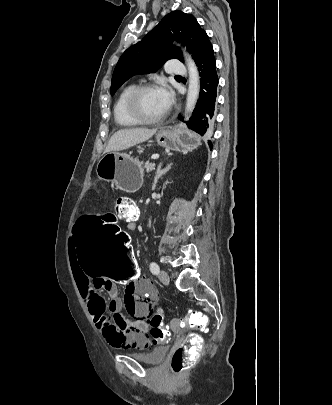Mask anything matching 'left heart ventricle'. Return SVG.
<instances>
[{
  "mask_svg": "<svg viewBox=\"0 0 332 405\" xmlns=\"http://www.w3.org/2000/svg\"><path fill=\"white\" fill-rule=\"evenodd\" d=\"M140 111L147 118H155L167 112L158 89L149 90L142 94L139 101Z\"/></svg>",
  "mask_w": 332,
  "mask_h": 405,
  "instance_id": "1",
  "label": "left heart ventricle"
}]
</instances>
